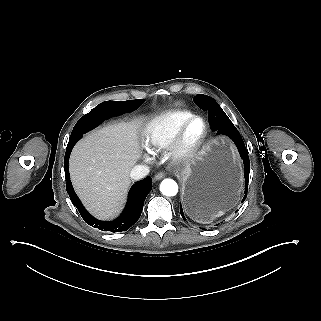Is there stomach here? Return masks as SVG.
<instances>
[{
  "label": "stomach",
  "instance_id": "obj_1",
  "mask_svg": "<svg viewBox=\"0 0 321 321\" xmlns=\"http://www.w3.org/2000/svg\"><path fill=\"white\" fill-rule=\"evenodd\" d=\"M178 177L182 203L190 218L199 221L202 212L232 207L242 185L241 162L234 144L225 136L207 142Z\"/></svg>",
  "mask_w": 321,
  "mask_h": 321
}]
</instances>
